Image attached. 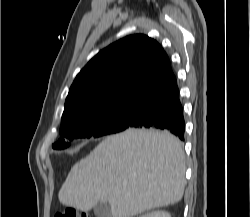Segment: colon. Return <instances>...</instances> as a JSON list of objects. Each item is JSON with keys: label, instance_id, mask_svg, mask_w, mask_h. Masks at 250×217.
<instances>
[{"label": "colon", "instance_id": "1", "mask_svg": "<svg viewBox=\"0 0 250 217\" xmlns=\"http://www.w3.org/2000/svg\"><path fill=\"white\" fill-rule=\"evenodd\" d=\"M54 217H90L86 212L77 210L75 208H66L61 212L55 214Z\"/></svg>", "mask_w": 250, "mask_h": 217}]
</instances>
